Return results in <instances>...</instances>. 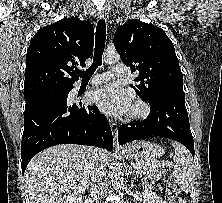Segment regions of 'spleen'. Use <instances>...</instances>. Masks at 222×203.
<instances>
[{
  "mask_svg": "<svg viewBox=\"0 0 222 203\" xmlns=\"http://www.w3.org/2000/svg\"><path fill=\"white\" fill-rule=\"evenodd\" d=\"M172 146L175 149L173 161L176 164L173 176L184 191H189L196 176L192 156L182 144L172 142Z\"/></svg>",
  "mask_w": 222,
  "mask_h": 203,
  "instance_id": "3e777b00",
  "label": "spleen"
}]
</instances>
